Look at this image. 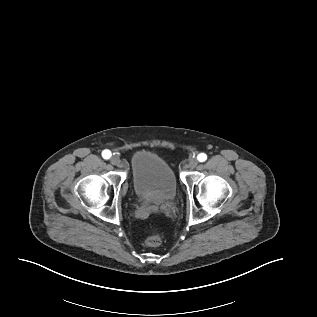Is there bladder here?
<instances>
[{"label":"bladder","instance_id":"1","mask_svg":"<svg viewBox=\"0 0 317 317\" xmlns=\"http://www.w3.org/2000/svg\"><path fill=\"white\" fill-rule=\"evenodd\" d=\"M131 181L137 198L145 204L167 203L177 193L174 171L163 158L153 153L140 151L133 155Z\"/></svg>","mask_w":317,"mask_h":317}]
</instances>
